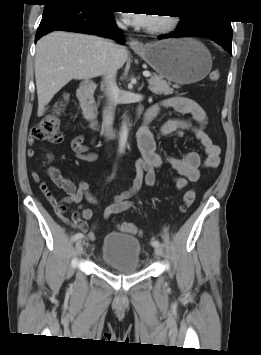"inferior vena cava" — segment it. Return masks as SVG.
Segmentation results:
<instances>
[{"instance_id": "602c4592", "label": "inferior vena cava", "mask_w": 261, "mask_h": 355, "mask_svg": "<svg viewBox=\"0 0 261 355\" xmlns=\"http://www.w3.org/2000/svg\"><path fill=\"white\" fill-rule=\"evenodd\" d=\"M117 25L121 29L126 28L121 22H117ZM107 50V68L105 69V72L103 74L101 90L105 93L108 100V105L103 110V125L107 131H110L114 121L115 93L117 90L115 78L118 70L119 45H116L113 42H109L107 44Z\"/></svg>"}]
</instances>
